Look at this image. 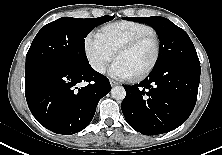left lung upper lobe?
Instances as JSON below:
<instances>
[{
	"label": "left lung upper lobe",
	"mask_w": 222,
	"mask_h": 155,
	"mask_svg": "<svg viewBox=\"0 0 222 155\" xmlns=\"http://www.w3.org/2000/svg\"><path fill=\"white\" fill-rule=\"evenodd\" d=\"M125 19L146 23L156 30L160 39V52L154 68L179 61L200 64L188 34L170 20L160 16L125 17Z\"/></svg>",
	"instance_id": "left-lung-upper-lobe-1"
}]
</instances>
